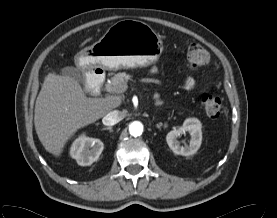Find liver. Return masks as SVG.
Returning a JSON list of instances; mask_svg holds the SVG:
<instances>
[{"mask_svg":"<svg viewBox=\"0 0 277 218\" xmlns=\"http://www.w3.org/2000/svg\"><path fill=\"white\" fill-rule=\"evenodd\" d=\"M121 98H87L75 79L49 73L42 84L34 110V125L45 150L60 156L67 140L120 106Z\"/></svg>","mask_w":277,"mask_h":218,"instance_id":"1","label":"liver"}]
</instances>
